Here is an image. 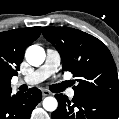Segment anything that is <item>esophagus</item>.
<instances>
[{
	"mask_svg": "<svg viewBox=\"0 0 119 119\" xmlns=\"http://www.w3.org/2000/svg\"><path fill=\"white\" fill-rule=\"evenodd\" d=\"M42 95L45 97V96H49V95H51V92L50 91H48V90H46V89H43L42 90Z\"/></svg>",
	"mask_w": 119,
	"mask_h": 119,
	"instance_id": "34e87169",
	"label": "esophagus"
}]
</instances>
